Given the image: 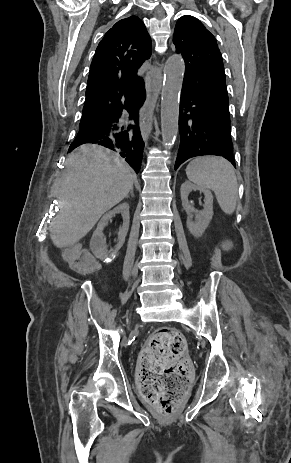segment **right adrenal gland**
Segmentation results:
<instances>
[{"label":"right adrenal gland","instance_id":"2a0ac1e0","mask_svg":"<svg viewBox=\"0 0 291 463\" xmlns=\"http://www.w3.org/2000/svg\"><path fill=\"white\" fill-rule=\"evenodd\" d=\"M129 195H131L132 197L134 196V191H133V188L130 190V193L126 196V198L129 197Z\"/></svg>","mask_w":291,"mask_h":463}]
</instances>
